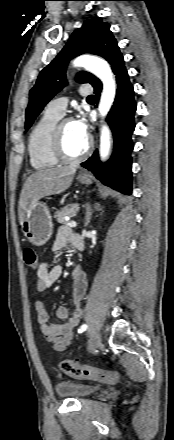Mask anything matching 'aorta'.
Listing matches in <instances>:
<instances>
[{"label":"aorta","instance_id":"aorta-1","mask_svg":"<svg viewBox=\"0 0 174 440\" xmlns=\"http://www.w3.org/2000/svg\"><path fill=\"white\" fill-rule=\"evenodd\" d=\"M74 67H83L87 71L98 77L103 83V90L98 106V110L102 118H105L111 109L115 95H116V82L112 73V70L107 63L102 58L82 55L77 57L73 61ZM111 148V135L109 127L104 124L101 128L100 134V157L101 160H106Z\"/></svg>","mask_w":174,"mask_h":440}]
</instances>
